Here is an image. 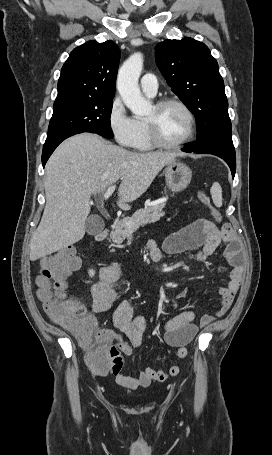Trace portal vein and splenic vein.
<instances>
[{
    "label": "portal vein and splenic vein",
    "mask_w": 272,
    "mask_h": 455,
    "mask_svg": "<svg viewBox=\"0 0 272 455\" xmlns=\"http://www.w3.org/2000/svg\"><path fill=\"white\" fill-rule=\"evenodd\" d=\"M115 187H116L115 185H112L107 189V191L103 195V200H107L112 195V193L115 190ZM130 225H131V222H127V226H130Z\"/></svg>",
    "instance_id": "18ae733b"
}]
</instances>
